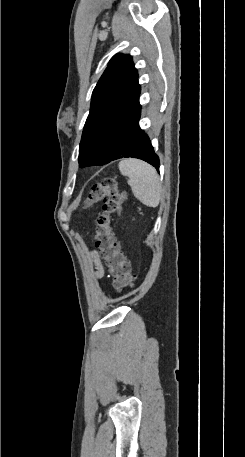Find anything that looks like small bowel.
<instances>
[{
    "mask_svg": "<svg viewBox=\"0 0 245 457\" xmlns=\"http://www.w3.org/2000/svg\"><path fill=\"white\" fill-rule=\"evenodd\" d=\"M93 258H94V264L96 267V276L102 277L103 273H104V269H103V265L101 263V260L99 259L97 252L93 253Z\"/></svg>",
    "mask_w": 245,
    "mask_h": 457,
    "instance_id": "1",
    "label": "small bowel"
}]
</instances>
